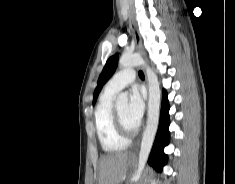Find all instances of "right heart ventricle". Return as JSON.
Wrapping results in <instances>:
<instances>
[{"mask_svg":"<svg viewBox=\"0 0 235 184\" xmlns=\"http://www.w3.org/2000/svg\"><path fill=\"white\" fill-rule=\"evenodd\" d=\"M112 94L104 93L94 111V125L102 149L107 154H115L125 150L129 141L117 132L114 123Z\"/></svg>","mask_w":235,"mask_h":184,"instance_id":"right-heart-ventricle-1","label":"right heart ventricle"}]
</instances>
